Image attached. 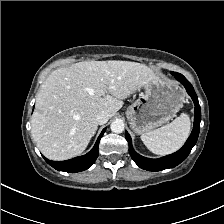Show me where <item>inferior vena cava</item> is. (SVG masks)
Returning a JSON list of instances; mask_svg holds the SVG:
<instances>
[{
	"mask_svg": "<svg viewBox=\"0 0 224 224\" xmlns=\"http://www.w3.org/2000/svg\"><path fill=\"white\" fill-rule=\"evenodd\" d=\"M110 118V115L106 111H100L96 115V121L98 124L102 125L105 124Z\"/></svg>",
	"mask_w": 224,
	"mask_h": 224,
	"instance_id": "inferior-vena-cava-1",
	"label": "inferior vena cava"
}]
</instances>
